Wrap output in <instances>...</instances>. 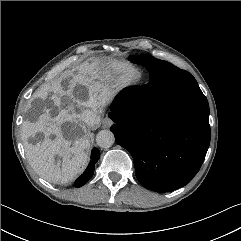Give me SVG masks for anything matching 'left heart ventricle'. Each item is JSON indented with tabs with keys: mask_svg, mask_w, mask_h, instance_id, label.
Wrapping results in <instances>:
<instances>
[{
	"mask_svg": "<svg viewBox=\"0 0 241 241\" xmlns=\"http://www.w3.org/2000/svg\"><path fill=\"white\" fill-rule=\"evenodd\" d=\"M136 74H137V71H136V70L131 71V75H132V76H135Z\"/></svg>",
	"mask_w": 241,
	"mask_h": 241,
	"instance_id": "obj_1",
	"label": "left heart ventricle"
}]
</instances>
